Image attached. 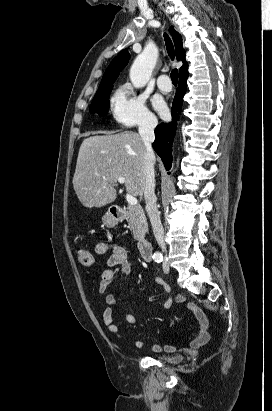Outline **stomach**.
<instances>
[{
  "mask_svg": "<svg viewBox=\"0 0 272 411\" xmlns=\"http://www.w3.org/2000/svg\"><path fill=\"white\" fill-rule=\"evenodd\" d=\"M118 221L119 220L113 217L110 213H106L102 218L103 224L107 227H114Z\"/></svg>",
  "mask_w": 272,
  "mask_h": 411,
  "instance_id": "1",
  "label": "stomach"
}]
</instances>
